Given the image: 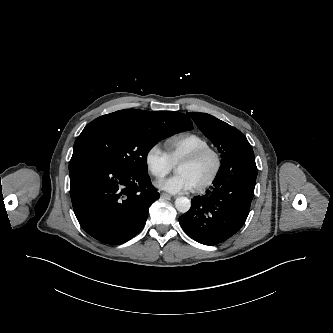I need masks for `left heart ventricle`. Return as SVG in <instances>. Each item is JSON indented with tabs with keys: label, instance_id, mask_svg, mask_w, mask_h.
<instances>
[{
	"label": "left heart ventricle",
	"instance_id": "obj_1",
	"mask_svg": "<svg viewBox=\"0 0 333 333\" xmlns=\"http://www.w3.org/2000/svg\"><path fill=\"white\" fill-rule=\"evenodd\" d=\"M213 169V159L210 156L194 163H179L177 172L187 175L197 187L203 183Z\"/></svg>",
	"mask_w": 333,
	"mask_h": 333
}]
</instances>
